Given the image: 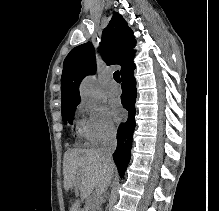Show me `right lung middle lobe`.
Wrapping results in <instances>:
<instances>
[{
    "label": "right lung middle lobe",
    "mask_w": 219,
    "mask_h": 211,
    "mask_svg": "<svg viewBox=\"0 0 219 211\" xmlns=\"http://www.w3.org/2000/svg\"><path fill=\"white\" fill-rule=\"evenodd\" d=\"M78 104L79 102L62 105V118L64 123H73L74 113Z\"/></svg>",
    "instance_id": "dd1d6c3e"
}]
</instances>
